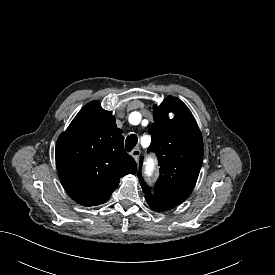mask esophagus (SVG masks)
Masks as SVG:
<instances>
[{
	"label": "esophagus",
	"mask_w": 275,
	"mask_h": 275,
	"mask_svg": "<svg viewBox=\"0 0 275 275\" xmlns=\"http://www.w3.org/2000/svg\"><path fill=\"white\" fill-rule=\"evenodd\" d=\"M140 154L141 151L138 148H135L131 151V156L135 159V161H138Z\"/></svg>",
	"instance_id": "1"
}]
</instances>
